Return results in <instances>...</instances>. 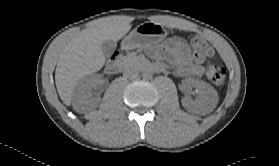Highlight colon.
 <instances>
[{
  "instance_id": "obj_1",
  "label": "colon",
  "mask_w": 279,
  "mask_h": 166,
  "mask_svg": "<svg viewBox=\"0 0 279 166\" xmlns=\"http://www.w3.org/2000/svg\"><path fill=\"white\" fill-rule=\"evenodd\" d=\"M191 47L193 56L196 60L201 61L206 57L212 55V48L200 37H193L191 39ZM206 76L215 85L220 86L225 81V68L216 63H208L206 65Z\"/></svg>"
}]
</instances>
